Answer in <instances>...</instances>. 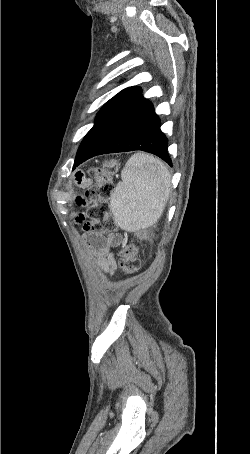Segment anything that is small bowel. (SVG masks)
<instances>
[{
  "instance_id": "c3829d8e",
  "label": "small bowel",
  "mask_w": 250,
  "mask_h": 454,
  "mask_svg": "<svg viewBox=\"0 0 250 454\" xmlns=\"http://www.w3.org/2000/svg\"><path fill=\"white\" fill-rule=\"evenodd\" d=\"M76 180L83 187L90 185V180L85 178L81 172L76 173ZM78 204H84V199L79 198ZM83 220L84 216L82 214L76 217L77 222L82 223ZM84 229L86 230L84 240L97 257L99 266L104 271L112 273L116 269V262L113 254L110 253V248L119 244L121 241L120 236L113 234L106 236L102 233L91 232L89 231V223L84 225Z\"/></svg>"
}]
</instances>
